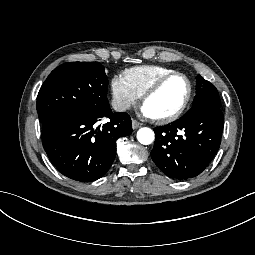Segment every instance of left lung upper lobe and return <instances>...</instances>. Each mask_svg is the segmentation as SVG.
Here are the masks:
<instances>
[{
    "instance_id": "1",
    "label": "left lung upper lobe",
    "mask_w": 255,
    "mask_h": 255,
    "mask_svg": "<svg viewBox=\"0 0 255 255\" xmlns=\"http://www.w3.org/2000/svg\"><path fill=\"white\" fill-rule=\"evenodd\" d=\"M199 104L221 107V101L215 86L200 75L197 77L196 97L194 98L193 106Z\"/></svg>"
}]
</instances>
